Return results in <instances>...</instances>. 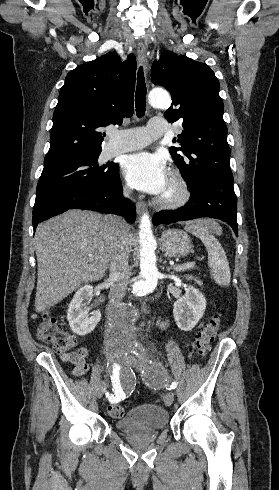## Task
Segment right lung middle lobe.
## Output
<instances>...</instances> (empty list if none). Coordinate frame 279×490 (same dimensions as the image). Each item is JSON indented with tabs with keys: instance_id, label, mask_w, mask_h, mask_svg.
Returning <instances> with one entry per match:
<instances>
[{
	"instance_id": "obj_1",
	"label": "right lung middle lobe",
	"mask_w": 279,
	"mask_h": 490,
	"mask_svg": "<svg viewBox=\"0 0 279 490\" xmlns=\"http://www.w3.org/2000/svg\"><path fill=\"white\" fill-rule=\"evenodd\" d=\"M100 153L45 162L36 191L47 187H64L109 182L118 174L117 163L99 165Z\"/></svg>"
}]
</instances>
